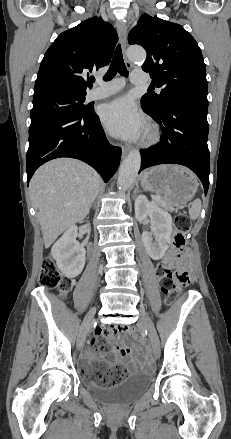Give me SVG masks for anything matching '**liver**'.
<instances>
[{
	"label": "liver",
	"instance_id": "6515ba94",
	"mask_svg": "<svg viewBox=\"0 0 231 439\" xmlns=\"http://www.w3.org/2000/svg\"><path fill=\"white\" fill-rule=\"evenodd\" d=\"M100 185L98 173L76 159H55L35 172L29 190L46 248L88 215Z\"/></svg>",
	"mask_w": 231,
	"mask_h": 439
}]
</instances>
